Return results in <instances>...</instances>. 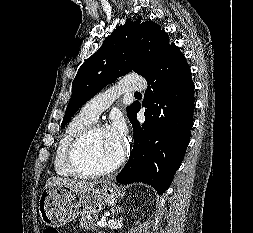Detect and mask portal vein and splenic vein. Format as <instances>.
I'll return each mask as SVG.
<instances>
[{
	"mask_svg": "<svg viewBox=\"0 0 253 233\" xmlns=\"http://www.w3.org/2000/svg\"><path fill=\"white\" fill-rule=\"evenodd\" d=\"M97 225H98L99 227H106V226H107V223L105 222V220H101V221H98V222H97Z\"/></svg>",
	"mask_w": 253,
	"mask_h": 233,
	"instance_id": "1",
	"label": "portal vein and splenic vein"
}]
</instances>
